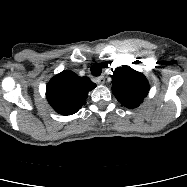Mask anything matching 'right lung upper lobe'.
Segmentation results:
<instances>
[{"label": "right lung upper lobe", "mask_w": 187, "mask_h": 187, "mask_svg": "<svg viewBox=\"0 0 187 187\" xmlns=\"http://www.w3.org/2000/svg\"><path fill=\"white\" fill-rule=\"evenodd\" d=\"M96 87L88 77H79L70 71L54 76L47 85L46 96L49 104L62 115L76 113Z\"/></svg>", "instance_id": "1"}]
</instances>
